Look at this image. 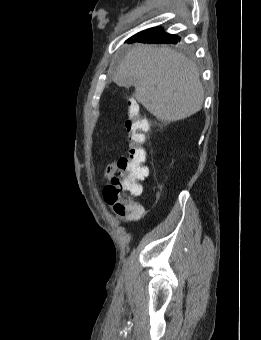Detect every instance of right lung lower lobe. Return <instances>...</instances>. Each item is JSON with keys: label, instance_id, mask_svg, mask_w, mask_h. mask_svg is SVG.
<instances>
[{"label": "right lung lower lobe", "instance_id": "1", "mask_svg": "<svg viewBox=\"0 0 261 340\" xmlns=\"http://www.w3.org/2000/svg\"><path fill=\"white\" fill-rule=\"evenodd\" d=\"M174 35L168 34L163 31L161 27H153L144 31H141L131 38H129L126 42H142V43H167L173 38Z\"/></svg>", "mask_w": 261, "mask_h": 340}]
</instances>
